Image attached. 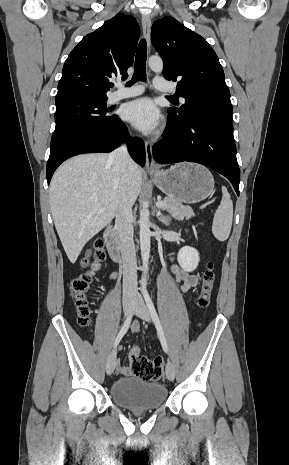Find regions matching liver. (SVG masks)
I'll return each instance as SVG.
<instances>
[{
  "mask_svg": "<svg viewBox=\"0 0 289 465\" xmlns=\"http://www.w3.org/2000/svg\"><path fill=\"white\" fill-rule=\"evenodd\" d=\"M105 153L84 154L64 162L50 184L52 218L71 263L85 244L117 214L123 201L135 203L142 171L133 161L124 175L114 170Z\"/></svg>",
  "mask_w": 289,
  "mask_h": 465,
  "instance_id": "1",
  "label": "liver"
}]
</instances>
